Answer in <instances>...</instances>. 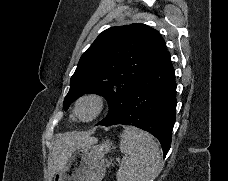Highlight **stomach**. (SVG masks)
<instances>
[{
    "instance_id": "0dacf381",
    "label": "stomach",
    "mask_w": 228,
    "mask_h": 181,
    "mask_svg": "<svg viewBox=\"0 0 228 181\" xmlns=\"http://www.w3.org/2000/svg\"><path fill=\"white\" fill-rule=\"evenodd\" d=\"M112 145L110 141L98 145L95 139L93 145L74 147L69 161L57 171L53 181H102L107 167L105 155L111 151Z\"/></svg>"
}]
</instances>
